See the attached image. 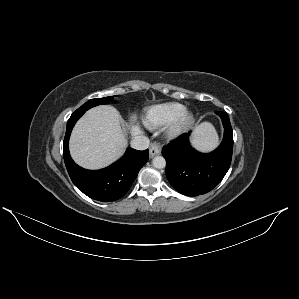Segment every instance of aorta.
I'll use <instances>...</instances> for the list:
<instances>
[{
	"label": "aorta",
	"mask_w": 299,
	"mask_h": 299,
	"mask_svg": "<svg viewBox=\"0 0 299 299\" xmlns=\"http://www.w3.org/2000/svg\"><path fill=\"white\" fill-rule=\"evenodd\" d=\"M152 165H153V167H155L157 169H162V168H165L166 161H165L164 157L156 156L152 160Z\"/></svg>",
	"instance_id": "1"
}]
</instances>
